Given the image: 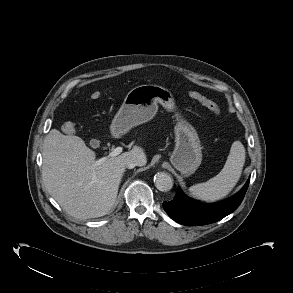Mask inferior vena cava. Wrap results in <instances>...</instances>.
<instances>
[{
  "label": "inferior vena cava",
  "instance_id": "obj_1",
  "mask_svg": "<svg viewBox=\"0 0 293 293\" xmlns=\"http://www.w3.org/2000/svg\"><path fill=\"white\" fill-rule=\"evenodd\" d=\"M123 163H124V166L128 169H132L135 166L140 165V163L137 159L131 158V157L126 158Z\"/></svg>",
  "mask_w": 293,
  "mask_h": 293
}]
</instances>
